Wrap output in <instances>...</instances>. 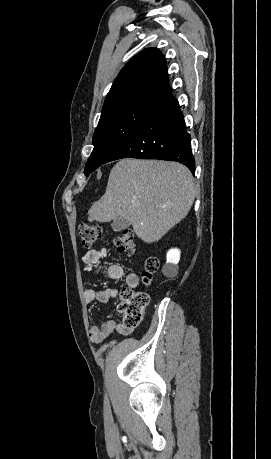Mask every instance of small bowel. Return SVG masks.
<instances>
[{
    "label": "small bowel",
    "instance_id": "small-bowel-1",
    "mask_svg": "<svg viewBox=\"0 0 271 459\" xmlns=\"http://www.w3.org/2000/svg\"><path fill=\"white\" fill-rule=\"evenodd\" d=\"M107 255L108 251L105 248L100 250L92 249L86 252L82 258V266L85 272L93 274L95 265ZM105 274L108 278L116 280L123 277L125 275V271L120 265L112 264L107 267ZM125 279L129 288H137L140 284L139 276L133 272L127 273ZM117 296L118 290L114 287H107L98 291L93 289H86L84 292V299L87 303H107L111 299H115ZM114 331L127 336L133 332V328L126 326L122 322L109 320L101 326L92 327L90 329L89 335L91 341L98 344L109 337Z\"/></svg>",
    "mask_w": 271,
    "mask_h": 459
}]
</instances>
